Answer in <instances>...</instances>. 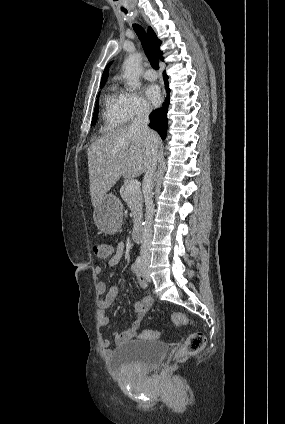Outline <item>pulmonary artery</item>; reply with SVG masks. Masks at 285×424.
<instances>
[{
	"mask_svg": "<svg viewBox=\"0 0 285 424\" xmlns=\"http://www.w3.org/2000/svg\"><path fill=\"white\" fill-rule=\"evenodd\" d=\"M144 77L149 81H154L157 79V73L153 69H147L144 72Z\"/></svg>",
	"mask_w": 285,
	"mask_h": 424,
	"instance_id": "e3ab8cb5",
	"label": "pulmonary artery"
}]
</instances>
